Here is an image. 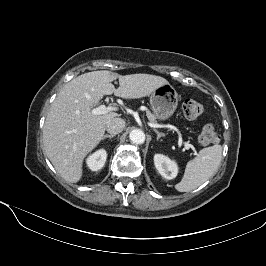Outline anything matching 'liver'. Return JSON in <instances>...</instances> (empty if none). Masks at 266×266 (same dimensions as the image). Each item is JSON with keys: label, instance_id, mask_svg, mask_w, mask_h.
<instances>
[{"label": "liver", "instance_id": "1", "mask_svg": "<svg viewBox=\"0 0 266 266\" xmlns=\"http://www.w3.org/2000/svg\"><path fill=\"white\" fill-rule=\"evenodd\" d=\"M119 80L115 89L113 80ZM163 77L150 74L119 75L111 71H93L68 82L58 93L43 128L45 154L57 172L70 183L78 182L83 160L102 140L106 124L117 113L93 115L92 109L104 95L125 99L149 96L162 85Z\"/></svg>", "mask_w": 266, "mask_h": 266}]
</instances>
